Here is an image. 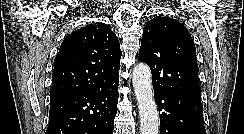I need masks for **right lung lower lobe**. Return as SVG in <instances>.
Masks as SVG:
<instances>
[{
    "mask_svg": "<svg viewBox=\"0 0 244 134\" xmlns=\"http://www.w3.org/2000/svg\"><path fill=\"white\" fill-rule=\"evenodd\" d=\"M119 77L94 91L51 99L46 134H112L117 113Z\"/></svg>",
    "mask_w": 244,
    "mask_h": 134,
    "instance_id": "obj_1",
    "label": "right lung lower lobe"
}]
</instances>
